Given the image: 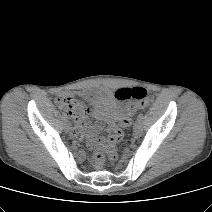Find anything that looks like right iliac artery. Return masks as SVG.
<instances>
[{
    "label": "right iliac artery",
    "instance_id": "right-iliac-artery-1",
    "mask_svg": "<svg viewBox=\"0 0 212 212\" xmlns=\"http://www.w3.org/2000/svg\"><path fill=\"white\" fill-rule=\"evenodd\" d=\"M62 118H63L64 121H67V117L63 116Z\"/></svg>",
    "mask_w": 212,
    "mask_h": 212
}]
</instances>
